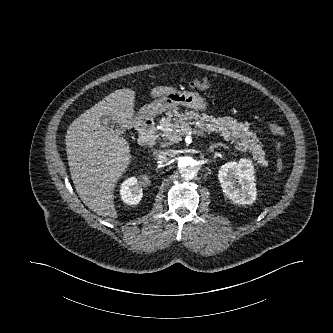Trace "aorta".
Instances as JSON below:
<instances>
[{
    "label": "aorta",
    "instance_id": "obj_1",
    "mask_svg": "<svg viewBox=\"0 0 333 333\" xmlns=\"http://www.w3.org/2000/svg\"><path fill=\"white\" fill-rule=\"evenodd\" d=\"M176 164L177 170L183 179L192 180L197 176L198 165L193 157L181 155L177 158Z\"/></svg>",
    "mask_w": 333,
    "mask_h": 333
}]
</instances>
